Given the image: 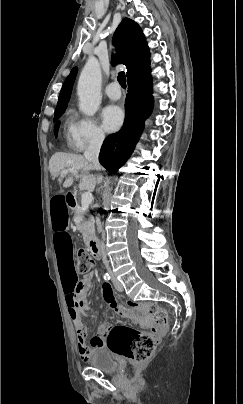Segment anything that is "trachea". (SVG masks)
<instances>
[{
    "label": "trachea",
    "mask_w": 243,
    "mask_h": 404,
    "mask_svg": "<svg viewBox=\"0 0 243 404\" xmlns=\"http://www.w3.org/2000/svg\"><path fill=\"white\" fill-rule=\"evenodd\" d=\"M117 80L123 89H126V75L124 72H119Z\"/></svg>",
    "instance_id": "1"
}]
</instances>
